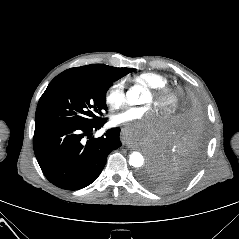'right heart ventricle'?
I'll return each instance as SVG.
<instances>
[{
  "label": "right heart ventricle",
  "mask_w": 239,
  "mask_h": 239,
  "mask_svg": "<svg viewBox=\"0 0 239 239\" xmlns=\"http://www.w3.org/2000/svg\"><path fill=\"white\" fill-rule=\"evenodd\" d=\"M133 82L147 88H163L168 81L165 76L155 72H143L133 77Z\"/></svg>",
  "instance_id": "obj_1"
}]
</instances>
